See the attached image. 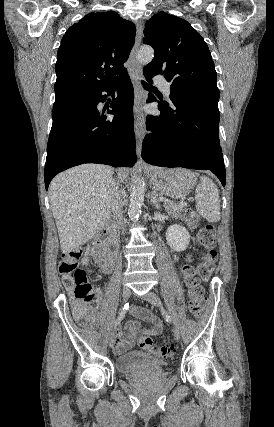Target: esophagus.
<instances>
[{"label":"esophagus","instance_id":"esophagus-1","mask_svg":"<svg viewBox=\"0 0 274 427\" xmlns=\"http://www.w3.org/2000/svg\"><path fill=\"white\" fill-rule=\"evenodd\" d=\"M143 35V27L141 23L137 24L136 39L133 49L129 57L128 71L134 87V122H135V138H136V150L137 155L141 161V146L145 135V118L143 113V90L140 85V79L142 78V67L137 60V53L141 44Z\"/></svg>","mask_w":274,"mask_h":427}]
</instances>
